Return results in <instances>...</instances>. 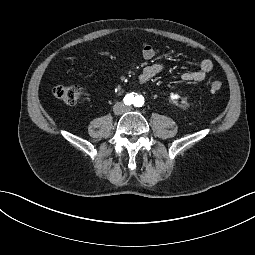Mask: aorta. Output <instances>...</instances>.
<instances>
[{"label": "aorta", "instance_id": "aorta-1", "mask_svg": "<svg viewBox=\"0 0 255 255\" xmlns=\"http://www.w3.org/2000/svg\"><path fill=\"white\" fill-rule=\"evenodd\" d=\"M138 99H139L141 102L144 101V99H143L142 96L134 97V95L131 94V102H134V103H135V101L138 100Z\"/></svg>", "mask_w": 255, "mask_h": 255}]
</instances>
